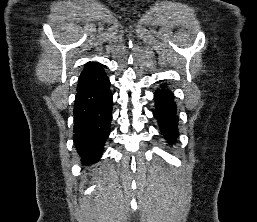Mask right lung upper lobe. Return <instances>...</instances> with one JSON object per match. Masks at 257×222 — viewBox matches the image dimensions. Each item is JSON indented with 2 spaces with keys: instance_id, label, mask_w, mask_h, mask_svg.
I'll return each mask as SVG.
<instances>
[{
  "instance_id": "obj_1",
  "label": "right lung upper lobe",
  "mask_w": 257,
  "mask_h": 222,
  "mask_svg": "<svg viewBox=\"0 0 257 222\" xmlns=\"http://www.w3.org/2000/svg\"><path fill=\"white\" fill-rule=\"evenodd\" d=\"M105 74L102 64L97 62H88L85 64V67L78 79L77 88L86 86L93 83L99 79L102 75Z\"/></svg>"
}]
</instances>
